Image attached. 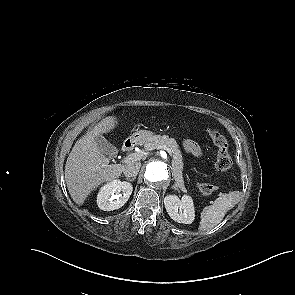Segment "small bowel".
I'll return each mask as SVG.
<instances>
[{
  "instance_id": "1",
  "label": "small bowel",
  "mask_w": 295,
  "mask_h": 295,
  "mask_svg": "<svg viewBox=\"0 0 295 295\" xmlns=\"http://www.w3.org/2000/svg\"><path fill=\"white\" fill-rule=\"evenodd\" d=\"M183 146L187 153L192 154L194 156L201 155V149L194 141L186 140L184 141Z\"/></svg>"
}]
</instances>
